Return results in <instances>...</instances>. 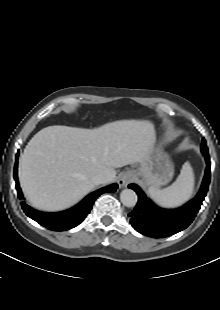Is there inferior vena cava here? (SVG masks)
Listing matches in <instances>:
<instances>
[{"mask_svg": "<svg viewBox=\"0 0 220 310\" xmlns=\"http://www.w3.org/2000/svg\"><path fill=\"white\" fill-rule=\"evenodd\" d=\"M91 181L94 185H100V184L107 183L108 178L103 174H97L91 178Z\"/></svg>", "mask_w": 220, "mask_h": 310, "instance_id": "1", "label": "inferior vena cava"}]
</instances>
